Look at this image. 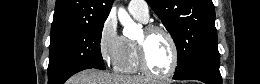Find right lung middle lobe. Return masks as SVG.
<instances>
[{"instance_id": "obj_1", "label": "right lung middle lobe", "mask_w": 260, "mask_h": 84, "mask_svg": "<svg viewBox=\"0 0 260 84\" xmlns=\"http://www.w3.org/2000/svg\"><path fill=\"white\" fill-rule=\"evenodd\" d=\"M104 22H84L51 34L49 84H63L71 75L84 69L105 70L100 50Z\"/></svg>"}]
</instances>
